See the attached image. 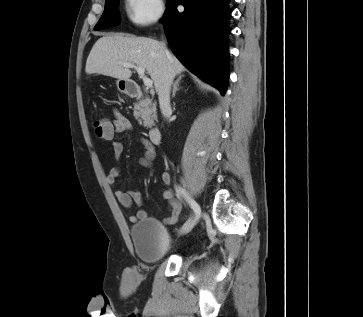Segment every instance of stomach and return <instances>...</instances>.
I'll use <instances>...</instances> for the list:
<instances>
[{
    "label": "stomach",
    "instance_id": "1",
    "mask_svg": "<svg viewBox=\"0 0 363 317\" xmlns=\"http://www.w3.org/2000/svg\"><path fill=\"white\" fill-rule=\"evenodd\" d=\"M116 84L121 93H128L129 80L119 79Z\"/></svg>",
    "mask_w": 363,
    "mask_h": 317
}]
</instances>
